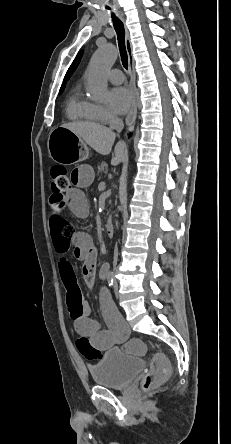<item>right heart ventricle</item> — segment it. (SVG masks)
<instances>
[{
  "mask_svg": "<svg viewBox=\"0 0 231 444\" xmlns=\"http://www.w3.org/2000/svg\"><path fill=\"white\" fill-rule=\"evenodd\" d=\"M66 113L69 119L77 121H94L96 120L91 104L79 92H74L66 107Z\"/></svg>",
  "mask_w": 231,
  "mask_h": 444,
  "instance_id": "e07e8e85",
  "label": "right heart ventricle"
}]
</instances>
